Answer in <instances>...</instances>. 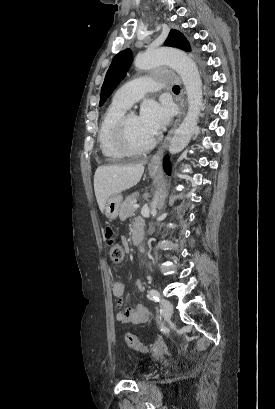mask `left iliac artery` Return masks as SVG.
Segmentation results:
<instances>
[{"label":"left iliac artery","mask_w":275,"mask_h":409,"mask_svg":"<svg viewBox=\"0 0 275 409\" xmlns=\"http://www.w3.org/2000/svg\"><path fill=\"white\" fill-rule=\"evenodd\" d=\"M149 294H150V296H151L156 302H159V301H160V300H159L160 294H159L158 290H156V289H151V290L149 291Z\"/></svg>","instance_id":"obj_1"}]
</instances>
